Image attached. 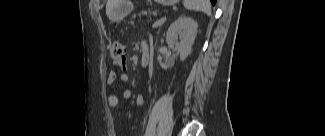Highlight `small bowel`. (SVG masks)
<instances>
[{
	"label": "small bowel",
	"instance_id": "c3829d8e",
	"mask_svg": "<svg viewBox=\"0 0 325 136\" xmlns=\"http://www.w3.org/2000/svg\"><path fill=\"white\" fill-rule=\"evenodd\" d=\"M119 67L125 66V60L123 62H116ZM119 79L122 83H127L129 81V75L125 71L116 72L109 71L106 77L107 84H112L116 79ZM123 99L130 100L132 99V92L130 90L123 91ZM119 103V98L115 94H111L108 96V105L110 107H116ZM135 105L137 107H142L144 105V97L142 95H138L135 98Z\"/></svg>",
	"mask_w": 325,
	"mask_h": 136
}]
</instances>
